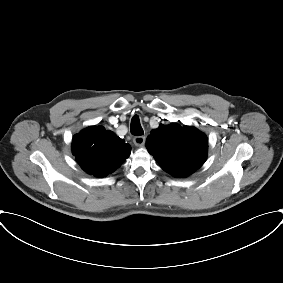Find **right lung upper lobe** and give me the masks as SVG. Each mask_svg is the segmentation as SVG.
<instances>
[{
    "label": "right lung upper lobe",
    "mask_w": 283,
    "mask_h": 283,
    "mask_svg": "<svg viewBox=\"0 0 283 283\" xmlns=\"http://www.w3.org/2000/svg\"><path fill=\"white\" fill-rule=\"evenodd\" d=\"M72 152L84 171L100 178L128 158L131 146L103 126H91L74 135Z\"/></svg>",
    "instance_id": "right-lung-upper-lobe-1"
}]
</instances>
